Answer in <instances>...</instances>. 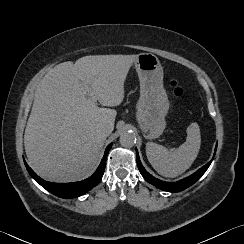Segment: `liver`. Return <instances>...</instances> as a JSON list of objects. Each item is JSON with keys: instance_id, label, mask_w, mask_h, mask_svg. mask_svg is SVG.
I'll use <instances>...</instances> for the list:
<instances>
[{"instance_id": "1", "label": "liver", "mask_w": 244, "mask_h": 244, "mask_svg": "<svg viewBox=\"0 0 244 244\" xmlns=\"http://www.w3.org/2000/svg\"><path fill=\"white\" fill-rule=\"evenodd\" d=\"M137 55H90L75 63L52 68L35 92L24 134L25 152L32 169L52 182H73L95 170L116 110L124 99V82ZM84 84L95 92L86 96Z\"/></svg>"}]
</instances>
